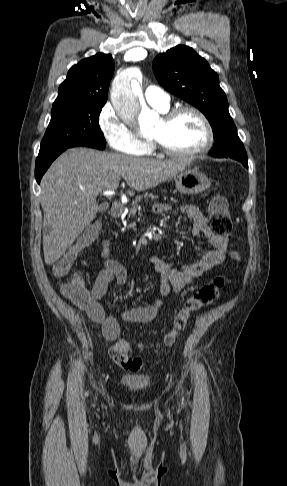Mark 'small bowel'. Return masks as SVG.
I'll list each match as a JSON object with an SVG mask.
<instances>
[{"mask_svg": "<svg viewBox=\"0 0 287 486\" xmlns=\"http://www.w3.org/2000/svg\"><path fill=\"white\" fill-rule=\"evenodd\" d=\"M153 210L158 215H164L170 211V207L167 204H156ZM182 212L192 222L193 235L205 242L207 250L198 260L181 266H174L158 256H152L150 262L159 278V297L149 305L134 307L119 314H106L100 300L106 294L112 281L118 285L126 283L127 272L118 261L111 257V241L109 239L101 241L100 255L104 261V267L98 273L92 286L88 287L90 299L84 308L89 318L101 326L106 340L115 341L119 337L121 321L129 323L152 321L161 309L163 298L171 293H179L196 278L216 269L227 258L239 259L236 252L228 249L227 240L215 234L209 227L206 217L197 206L184 205Z\"/></svg>", "mask_w": 287, "mask_h": 486, "instance_id": "small-bowel-1", "label": "small bowel"}]
</instances>
